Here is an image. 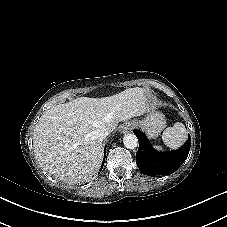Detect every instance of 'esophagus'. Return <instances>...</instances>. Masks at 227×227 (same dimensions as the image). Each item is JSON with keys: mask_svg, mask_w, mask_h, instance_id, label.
I'll use <instances>...</instances> for the list:
<instances>
[{"mask_svg": "<svg viewBox=\"0 0 227 227\" xmlns=\"http://www.w3.org/2000/svg\"><path fill=\"white\" fill-rule=\"evenodd\" d=\"M132 130V125L128 124L123 127V133H128L129 131Z\"/></svg>", "mask_w": 227, "mask_h": 227, "instance_id": "34e87169", "label": "esophagus"}]
</instances>
